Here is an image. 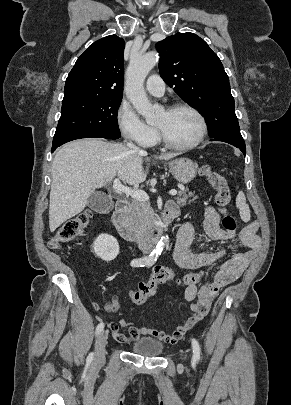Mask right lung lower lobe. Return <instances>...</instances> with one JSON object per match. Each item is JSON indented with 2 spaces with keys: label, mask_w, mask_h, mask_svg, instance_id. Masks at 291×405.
Instances as JSON below:
<instances>
[{
  "label": "right lung lower lobe",
  "mask_w": 291,
  "mask_h": 405,
  "mask_svg": "<svg viewBox=\"0 0 291 405\" xmlns=\"http://www.w3.org/2000/svg\"><path fill=\"white\" fill-rule=\"evenodd\" d=\"M56 148H52V152L55 150Z\"/></svg>",
  "instance_id": "1"
}]
</instances>
